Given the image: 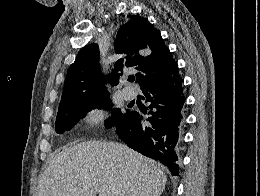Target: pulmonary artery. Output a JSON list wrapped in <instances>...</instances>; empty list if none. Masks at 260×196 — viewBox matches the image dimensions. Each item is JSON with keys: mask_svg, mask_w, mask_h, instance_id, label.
I'll use <instances>...</instances> for the list:
<instances>
[{"mask_svg": "<svg viewBox=\"0 0 260 196\" xmlns=\"http://www.w3.org/2000/svg\"><path fill=\"white\" fill-rule=\"evenodd\" d=\"M121 95L125 100L132 101V100L136 99L137 92L133 87L127 86V87L123 88Z\"/></svg>", "mask_w": 260, "mask_h": 196, "instance_id": "e3ab8cb5", "label": "pulmonary artery"}]
</instances>
